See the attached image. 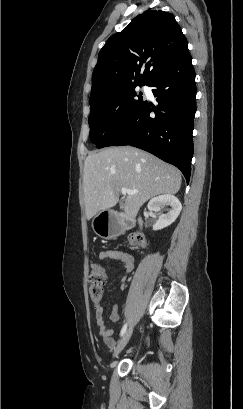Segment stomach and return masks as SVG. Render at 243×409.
Returning a JSON list of instances; mask_svg holds the SVG:
<instances>
[{
  "label": "stomach",
  "mask_w": 243,
  "mask_h": 409,
  "mask_svg": "<svg viewBox=\"0 0 243 409\" xmlns=\"http://www.w3.org/2000/svg\"><path fill=\"white\" fill-rule=\"evenodd\" d=\"M104 211L97 214L92 221V228L94 232L102 238H111L113 236L112 232L108 228V223H103L100 220L101 215Z\"/></svg>",
  "instance_id": "obj_1"
}]
</instances>
